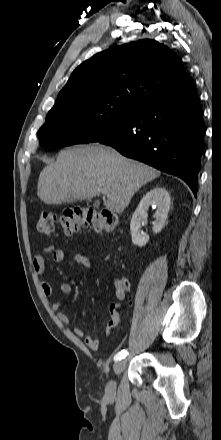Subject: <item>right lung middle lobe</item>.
Masks as SVG:
<instances>
[{
	"mask_svg": "<svg viewBox=\"0 0 221 440\" xmlns=\"http://www.w3.org/2000/svg\"><path fill=\"white\" fill-rule=\"evenodd\" d=\"M135 108L117 103L72 104L52 109L40 128V145L56 149L97 142L120 127Z\"/></svg>",
	"mask_w": 221,
	"mask_h": 440,
	"instance_id": "dd1d6c3e",
	"label": "right lung middle lobe"
}]
</instances>
